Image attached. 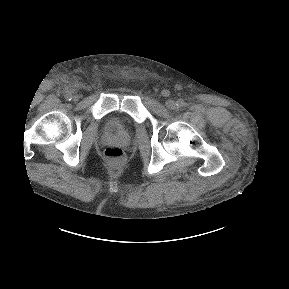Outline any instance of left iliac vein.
I'll return each mask as SVG.
<instances>
[{
    "mask_svg": "<svg viewBox=\"0 0 289 289\" xmlns=\"http://www.w3.org/2000/svg\"><path fill=\"white\" fill-rule=\"evenodd\" d=\"M166 107L168 109H174L175 108V102L173 100H167L166 101Z\"/></svg>",
    "mask_w": 289,
    "mask_h": 289,
    "instance_id": "obj_1",
    "label": "left iliac vein"
}]
</instances>
